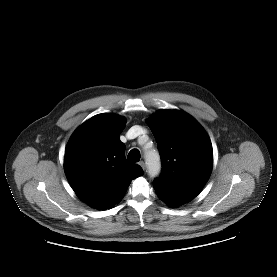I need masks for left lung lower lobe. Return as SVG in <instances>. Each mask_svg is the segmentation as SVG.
Returning <instances> with one entry per match:
<instances>
[{
	"label": "left lung lower lobe",
	"instance_id": "1",
	"mask_svg": "<svg viewBox=\"0 0 277 277\" xmlns=\"http://www.w3.org/2000/svg\"><path fill=\"white\" fill-rule=\"evenodd\" d=\"M153 186H154V189H155L158 197L171 207H176V206L182 205L186 202L191 201L194 198L192 196L178 194V193L168 191V190H166L160 186L154 185V184H153Z\"/></svg>",
	"mask_w": 277,
	"mask_h": 277
}]
</instances>
